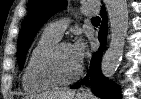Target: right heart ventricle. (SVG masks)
<instances>
[{
  "mask_svg": "<svg viewBox=\"0 0 141 99\" xmlns=\"http://www.w3.org/2000/svg\"><path fill=\"white\" fill-rule=\"evenodd\" d=\"M57 40V38L44 32L31 51L22 76V84L27 92L40 93L54 87V85L46 83L38 78L36 74V65L42 53L49 46L57 42Z\"/></svg>",
  "mask_w": 141,
  "mask_h": 99,
  "instance_id": "right-heart-ventricle-1",
  "label": "right heart ventricle"
}]
</instances>
